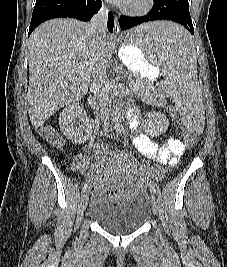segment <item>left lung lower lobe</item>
Listing matches in <instances>:
<instances>
[{
  "mask_svg": "<svg viewBox=\"0 0 227 267\" xmlns=\"http://www.w3.org/2000/svg\"><path fill=\"white\" fill-rule=\"evenodd\" d=\"M155 20H170L183 25L193 35L194 28L189 13L188 0H155L153 9L143 17L119 18V25L122 30L130 29L141 23ZM167 43L174 50H181L189 46V42L170 35L167 37Z\"/></svg>",
  "mask_w": 227,
  "mask_h": 267,
  "instance_id": "obj_1",
  "label": "left lung lower lobe"
}]
</instances>
